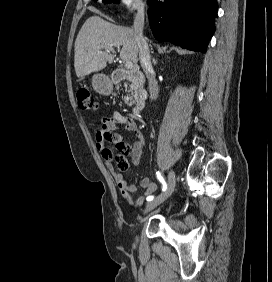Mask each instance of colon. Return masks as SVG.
I'll return each mask as SVG.
<instances>
[{
    "label": "colon",
    "mask_w": 272,
    "mask_h": 282,
    "mask_svg": "<svg viewBox=\"0 0 272 282\" xmlns=\"http://www.w3.org/2000/svg\"><path fill=\"white\" fill-rule=\"evenodd\" d=\"M76 99H77L78 107L82 110H92V109L97 108L96 99L93 97L91 92L86 88H82V89L78 90L77 95H76ZM101 136H102L103 140H107V141L114 144L115 149L120 154L119 158L117 159L118 166H119L121 171H125L128 168V164H127L126 160L123 158V154L128 151V146L124 142L119 140L116 135L112 134L108 130H103L102 133H101ZM102 153H103V156L106 159L111 158V150L110 149L105 148V149H103Z\"/></svg>",
    "instance_id": "obj_1"
}]
</instances>
